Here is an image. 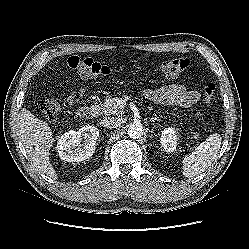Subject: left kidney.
Segmentation results:
<instances>
[{"label": "left kidney", "mask_w": 249, "mask_h": 249, "mask_svg": "<svg viewBox=\"0 0 249 249\" xmlns=\"http://www.w3.org/2000/svg\"><path fill=\"white\" fill-rule=\"evenodd\" d=\"M177 133L174 128H166L161 132L160 143L166 152H173L177 146Z\"/></svg>", "instance_id": "1"}]
</instances>
